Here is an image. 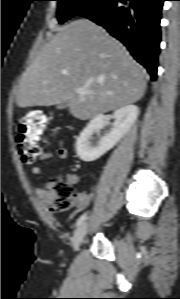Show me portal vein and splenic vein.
Masks as SVG:
<instances>
[{
    "mask_svg": "<svg viewBox=\"0 0 180 299\" xmlns=\"http://www.w3.org/2000/svg\"><path fill=\"white\" fill-rule=\"evenodd\" d=\"M76 93L79 95L93 94L87 87H81L76 89ZM107 95H113V92H106Z\"/></svg>",
    "mask_w": 180,
    "mask_h": 299,
    "instance_id": "portal-vein-and-splenic-vein-1",
    "label": "portal vein and splenic vein"
}]
</instances>
